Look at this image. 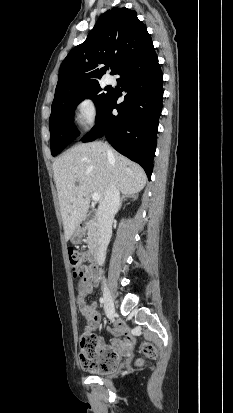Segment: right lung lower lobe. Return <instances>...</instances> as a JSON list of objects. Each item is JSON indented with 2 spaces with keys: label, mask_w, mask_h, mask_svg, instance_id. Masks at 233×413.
<instances>
[{
  "label": "right lung lower lobe",
  "mask_w": 233,
  "mask_h": 413,
  "mask_svg": "<svg viewBox=\"0 0 233 413\" xmlns=\"http://www.w3.org/2000/svg\"><path fill=\"white\" fill-rule=\"evenodd\" d=\"M115 74L121 76V91L127 93L124 101L116 104L117 97L112 93L82 141L105 135L118 152L140 164L150 180L163 99V74L153 43L126 60ZM113 109H117V115L112 114Z\"/></svg>",
  "instance_id": "1"
}]
</instances>
